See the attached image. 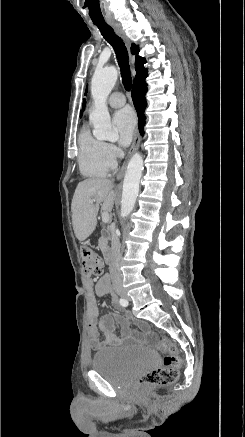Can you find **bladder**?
<instances>
[{"label":"bladder","mask_w":245,"mask_h":437,"mask_svg":"<svg viewBox=\"0 0 245 437\" xmlns=\"http://www.w3.org/2000/svg\"><path fill=\"white\" fill-rule=\"evenodd\" d=\"M156 364L157 355L151 349L106 348L93 356L91 368L112 384L124 386Z\"/></svg>","instance_id":"bladder-1"}]
</instances>
